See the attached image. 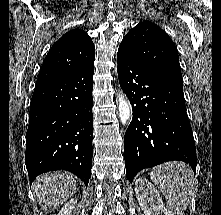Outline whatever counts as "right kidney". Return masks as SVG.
<instances>
[{"mask_svg": "<svg viewBox=\"0 0 221 215\" xmlns=\"http://www.w3.org/2000/svg\"><path fill=\"white\" fill-rule=\"evenodd\" d=\"M78 200L73 198L69 200L59 211L58 215H72V211L74 210Z\"/></svg>", "mask_w": 221, "mask_h": 215, "instance_id": "ca27d5eb", "label": "right kidney"}]
</instances>
